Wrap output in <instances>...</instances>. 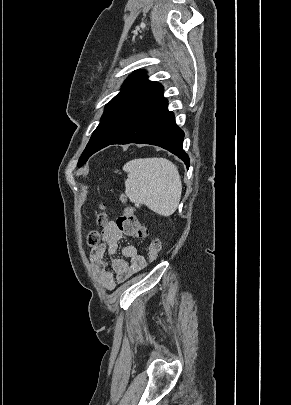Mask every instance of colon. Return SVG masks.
<instances>
[{"label": "colon", "mask_w": 291, "mask_h": 405, "mask_svg": "<svg viewBox=\"0 0 291 405\" xmlns=\"http://www.w3.org/2000/svg\"><path fill=\"white\" fill-rule=\"evenodd\" d=\"M122 199H124L122 197ZM105 216L97 217V224L102 226L105 224ZM118 229L128 236L136 238H144L147 235L146 228L140 223L135 211L132 207L126 206L123 212L116 220ZM87 244L91 247H97L101 242V235L98 230H91L86 237ZM161 248V243L158 239H153L146 248V256L149 263L157 260Z\"/></svg>", "instance_id": "colon-1"}]
</instances>
